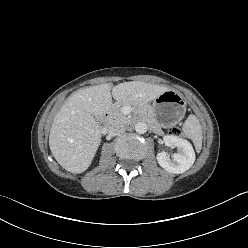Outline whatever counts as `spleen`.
<instances>
[{
    "label": "spleen",
    "instance_id": "3e777b00",
    "mask_svg": "<svg viewBox=\"0 0 248 248\" xmlns=\"http://www.w3.org/2000/svg\"><path fill=\"white\" fill-rule=\"evenodd\" d=\"M184 134L190 138L197 149L202 146V128L195 115H189L183 125Z\"/></svg>",
    "mask_w": 248,
    "mask_h": 248
}]
</instances>
